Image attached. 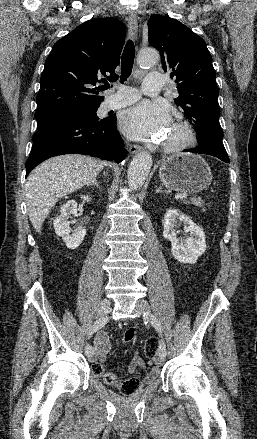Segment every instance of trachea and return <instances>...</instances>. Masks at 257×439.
Listing matches in <instances>:
<instances>
[{"mask_svg":"<svg viewBox=\"0 0 257 439\" xmlns=\"http://www.w3.org/2000/svg\"><path fill=\"white\" fill-rule=\"evenodd\" d=\"M134 56H135V47L134 43L131 40H128L123 54L121 58V83L126 81V79L131 75L133 63H134ZM110 85L109 83H105L103 86V89H109Z\"/></svg>","mask_w":257,"mask_h":439,"instance_id":"1","label":"trachea"}]
</instances>
